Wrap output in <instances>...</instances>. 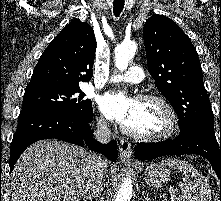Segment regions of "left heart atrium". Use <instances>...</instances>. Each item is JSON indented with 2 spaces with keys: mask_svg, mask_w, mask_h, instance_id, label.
I'll return each mask as SVG.
<instances>
[{
  "mask_svg": "<svg viewBox=\"0 0 221 201\" xmlns=\"http://www.w3.org/2000/svg\"><path fill=\"white\" fill-rule=\"evenodd\" d=\"M136 101L123 93L109 92L99 98L101 112L110 120L125 124L134 112Z\"/></svg>",
  "mask_w": 221,
  "mask_h": 201,
  "instance_id": "left-heart-atrium-1",
  "label": "left heart atrium"
}]
</instances>
